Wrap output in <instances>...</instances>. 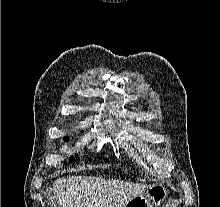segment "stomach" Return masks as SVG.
<instances>
[{"mask_svg": "<svg viewBox=\"0 0 220 207\" xmlns=\"http://www.w3.org/2000/svg\"><path fill=\"white\" fill-rule=\"evenodd\" d=\"M168 197L166 188L161 184L147 186L143 193L130 198L124 207H160Z\"/></svg>", "mask_w": 220, "mask_h": 207, "instance_id": "0dacf381", "label": "stomach"}]
</instances>
